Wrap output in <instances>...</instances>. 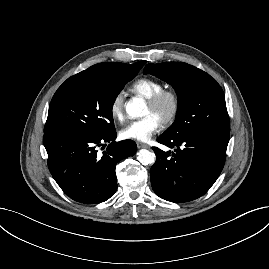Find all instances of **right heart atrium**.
Returning <instances> with one entry per match:
<instances>
[{
    "instance_id": "1",
    "label": "right heart atrium",
    "mask_w": 269,
    "mask_h": 269,
    "mask_svg": "<svg viewBox=\"0 0 269 269\" xmlns=\"http://www.w3.org/2000/svg\"><path fill=\"white\" fill-rule=\"evenodd\" d=\"M124 103L125 94L123 91H118L112 98L109 106L110 114L116 121H123L124 119Z\"/></svg>"
}]
</instances>
